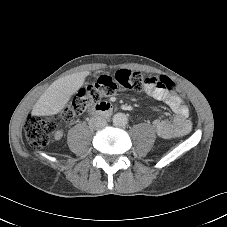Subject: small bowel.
Segmentation results:
<instances>
[{"label": "small bowel", "instance_id": "c3829d8e", "mask_svg": "<svg viewBox=\"0 0 227 227\" xmlns=\"http://www.w3.org/2000/svg\"><path fill=\"white\" fill-rule=\"evenodd\" d=\"M145 93L149 97L167 104L174 113L172 121L166 119L153 121V128L158 136L164 139H171L183 136L190 131L189 108L179 95L169 92L166 86L160 82L147 86ZM55 137L60 139L62 132L58 131Z\"/></svg>", "mask_w": 227, "mask_h": 227}]
</instances>
